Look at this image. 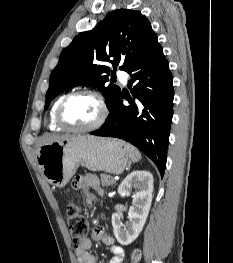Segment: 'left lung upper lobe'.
I'll use <instances>...</instances> for the list:
<instances>
[{
  "instance_id": "5c2ea615",
  "label": "left lung upper lobe",
  "mask_w": 233,
  "mask_h": 263,
  "mask_svg": "<svg viewBox=\"0 0 233 263\" xmlns=\"http://www.w3.org/2000/svg\"><path fill=\"white\" fill-rule=\"evenodd\" d=\"M156 37L141 12L119 9L110 13L92 30L78 34L61 52L50 75L45 109L64 90L86 85L102 92L111 111L120 96V88L105 86L110 72L114 74L116 69L111 71L105 63L121 64L120 69L126 71Z\"/></svg>"
}]
</instances>
